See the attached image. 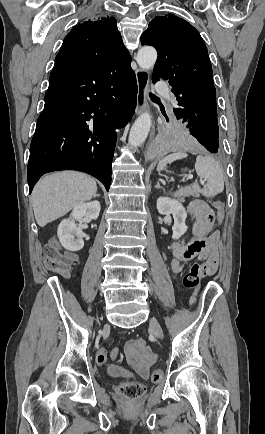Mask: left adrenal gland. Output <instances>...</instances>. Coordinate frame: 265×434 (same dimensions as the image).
<instances>
[{"mask_svg": "<svg viewBox=\"0 0 265 434\" xmlns=\"http://www.w3.org/2000/svg\"><path fill=\"white\" fill-rule=\"evenodd\" d=\"M155 188H162V186H160L159 182H157ZM162 190H164V188H162Z\"/></svg>", "mask_w": 265, "mask_h": 434, "instance_id": "left-adrenal-gland-1", "label": "left adrenal gland"}]
</instances>
